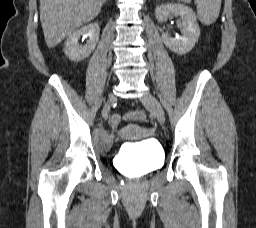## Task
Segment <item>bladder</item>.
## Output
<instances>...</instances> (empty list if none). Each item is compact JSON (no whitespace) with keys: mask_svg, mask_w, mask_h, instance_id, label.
<instances>
[{"mask_svg":"<svg viewBox=\"0 0 256 228\" xmlns=\"http://www.w3.org/2000/svg\"><path fill=\"white\" fill-rule=\"evenodd\" d=\"M114 135L108 132L101 133L96 144L101 149H108L114 142ZM126 166L135 176H142L157 168L162 164V151L153 144H146L140 148L132 149L126 154Z\"/></svg>","mask_w":256,"mask_h":228,"instance_id":"obj_1","label":"bladder"}]
</instances>
